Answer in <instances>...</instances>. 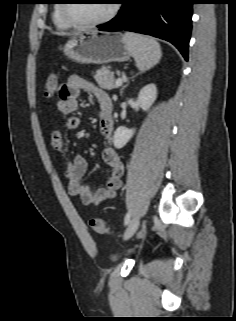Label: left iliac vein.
Wrapping results in <instances>:
<instances>
[{
  "label": "left iliac vein",
  "instance_id": "left-iliac-vein-1",
  "mask_svg": "<svg viewBox=\"0 0 236 321\" xmlns=\"http://www.w3.org/2000/svg\"><path fill=\"white\" fill-rule=\"evenodd\" d=\"M139 223H140V218L139 216H135L131 221L130 223L128 224L125 232H124V239L127 240L129 239L130 237H132V235L136 232V230L138 229L139 227Z\"/></svg>",
  "mask_w": 236,
  "mask_h": 321
}]
</instances>
